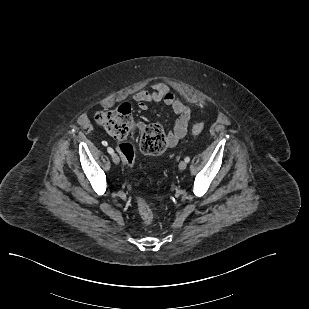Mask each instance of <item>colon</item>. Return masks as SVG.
Returning <instances> with one entry per match:
<instances>
[{
	"label": "colon",
	"instance_id": "1",
	"mask_svg": "<svg viewBox=\"0 0 309 309\" xmlns=\"http://www.w3.org/2000/svg\"><path fill=\"white\" fill-rule=\"evenodd\" d=\"M96 122L106 132L119 140L118 151L129 167H132L135 160V150L132 143V136L136 129L140 133V149L150 156L163 154L167 148V137L162 127L158 124H137L126 105L107 111H101L96 115ZM203 124H196L192 128L193 134L203 131ZM138 212L144 224L152 223L154 215L150 205L142 196H137Z\"/></svg>",
	"mask_w": 309,
	"mask_h": 309
}]
</instances>
